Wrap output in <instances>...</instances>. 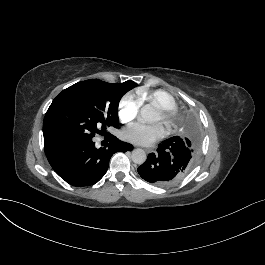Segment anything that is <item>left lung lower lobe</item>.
<instances>
[{
    "instance_id": "obj_1",
    "label": "left lung lower lobe",
    "mask_w": 265,
    "mask_h": 265,
    "mask_svg": "<svg viewBox=\"0 0 265 265\" xmlns=\"http://www.w3.org/2000/svg\"><path fill=\"white\" fill-rule=\"evenodd\" d=\"M190 153L179 136L171 137L159 144L157 153H150L138 167L139 175L157 186L171 185L189 172Z\"/></svg>"
}]
</instances>
